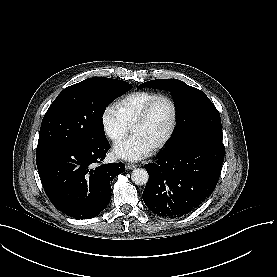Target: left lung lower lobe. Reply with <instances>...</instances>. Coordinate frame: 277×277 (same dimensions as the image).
<instances>
[{"instance_id":"obj_1","label":"left lung lower lobe","mask_w":277,"mask_h":277,"mask_svg":"<svg viewBox=\"0 0 277 277\" xmlns=\"http://www.w3.org/2000/svg\"><path fill=\"white\" fill-rule=\"evenodd\" d=\"M211 149L224 152L222 134L203 131L170 151L161 152L157 163L146 164L149 180L142 194L146 206L157 215L169 218L184 215L198 206L213 192L218 181L205 183L203 180L219 176L222 169V165L202 159V152L209 153ZM186 159L196 161L197 172L207 175H184L180 162Z\"/></svg>"}]
</instances>
